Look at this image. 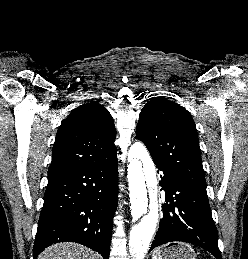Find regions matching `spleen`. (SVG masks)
Returning <instances> with one entry per match:
<instances>
[{
    "mask_svg": "<svg viewBox=\"0 0 248 259\" xmlns=\"http://www.w3.org/2000/svg\"><path fill=\"white\" fill-rule=\"evenodd\" d=\"M155 256H156V255H155V253H154L153 256H152V259H155Z\"/></svg>",
    "mask_w": 248,
    "mask_h": 259,
    "instance_id": "3e777b00",
    "label": "spleen"
}]
</instances>
